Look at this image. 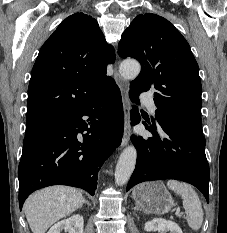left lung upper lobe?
Segmentation results:
<instances>
[{"label":"left lung upper lobe","instance_id":"left-lung-upper-lobe-1","mask_svg":"<svg viewBox=\"0 0 227 233\" xmlns=\"http://www.w3.org/2000/svg\"><path fill=\"white\" fill-rule=\"evenodd\" d=\"M118 54L141 63L130 90L154 92L157 120L164 117L202 134L199 67L188 42L168 20L138 15L122 34Z\"/></svg>","mask_w":227,"mask_h":233}]
</instances>
